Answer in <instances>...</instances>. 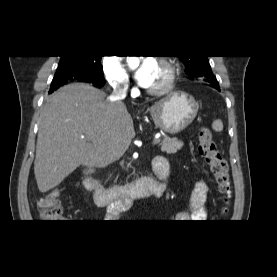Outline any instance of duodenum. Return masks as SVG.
I'll list each match as a JSON object with an SVG mask.
<instances>
[{
  "mask_svg": "<svg viewBox=\"0 0 277 277\" xmlns=\"http://www.w3.org/2000/svg\"><path fill=\"white\" fill-rule=\"evenodd\" d=\"M153 160L161 170L159 181L152 178H141L128 185L107 189L91 175V170L86 168L82 174L83 184L88 191L93 193L97 206H112L116 212L125 210L131 206L134 199L161 195L162 182L168 177L170 170L163 158L155 157Z\"/></svg>",
  "mask_w": 277,
  "mask_h": 277,
  "instance_id": "duodenum-1",
  "label": "duodenum"
}]
</instances>
